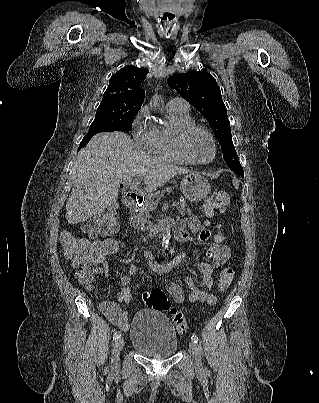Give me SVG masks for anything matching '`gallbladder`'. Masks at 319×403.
<instances>
[{
	"label": "gallbladder",
	"mask_w": 319,
	"mask_h": 403,
	"mask_svg": "<svg viewBox=\"0 0 319 403\" xmlns=\"http://www.w3.org/2000/svg\"><path fill=\"white\" fill-rule=\"evenodd\" d=\"M109 210L112 211V212H114V211H115V207H110Z\"/></svg>",
	"instance_id": "gallbladder-1"
}]
</instances>
